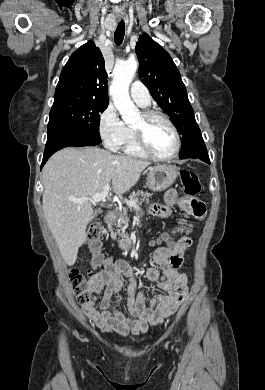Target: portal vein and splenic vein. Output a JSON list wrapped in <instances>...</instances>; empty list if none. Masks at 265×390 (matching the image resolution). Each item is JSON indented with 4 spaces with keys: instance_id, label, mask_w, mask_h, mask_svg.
<instances>
[{
    "instance_id": "portal-vein-and-splenic-vein-1",
    "label": "portal vein and splenic vein",
    "mask_w": 265,
    "mask_h": 390,
    "mask_svg": "<svg viewBox=\"0 0 265 390\" xmlns=\"http://www.w3.org/2000/svg\"><path fill=\"white\" fill-rule=\"evenodd\" d=\"M109 190H110V185L106 184L104 187V190L99 194H94L91 197H83V198L70 197L69 200L72 201L73 203H76V204H81V203H84L87 201L99 202V201L104 200L108 196ZM136 203H137L136 201H126V204L128 206H136Z\"/></svg>"
}]
</instances>
